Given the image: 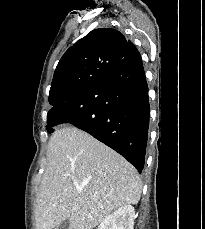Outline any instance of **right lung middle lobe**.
<instances>
[{
	"label": "right lung middle lobe",
	"instance_id": "right-lung-middle-lobe-1",
	"mask_svg": "<svg viewBox=\"0 0 205 229\" xmlns=\"http://www.w3.org/2000/svg\"><path fill=\"white\" fill-rule=\"evenodd\" d=\"M69 98H71V97H69ZM69 98H67V99H64L61 103H64V102H66ZM54 106V105H53Z\"/></svg>",
	"mask_w": 205,
	"mask_h": 229
}]
</instances>
